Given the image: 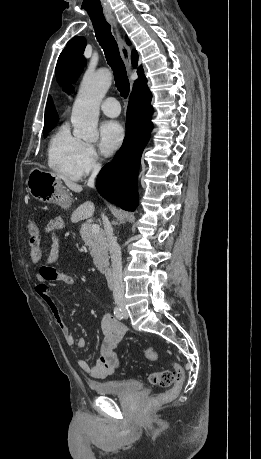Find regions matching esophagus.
I'll use <instances>...</instances> for the list:
<instances>
[{
    "label": "esophagus",
    "instance_id": "obj_1",
    "mask_svg": "<svg viewBox=\"0 0 261 459\" xmlns=\"http://www.w3.org/2000/svg\"><path fill=\"white\" fill-rule=\"evenodd\" d=\"M109 21H110L111 25L114 28L122 60L124 61L128 72L131 73V70H132L131 57H130L131 50L127 46V44L125 43L123 37L121 36V33L119 31L116 19L112 17V18L109 19ZM132 84H133V82L131 81V86H132Z\"/></svg>",
    "mask_w": 261,
    "mask_h": 459
}]
</instances>
